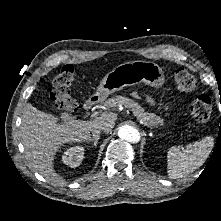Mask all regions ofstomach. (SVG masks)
Segmentation results:
<instances>
[{
	"instance_id": "obj_1",
	"label": "stomach",
	"mask_w": 221,
	"mask_h": 221,
	"mask_svg": "<svg viewBox=\"0 0 221 221\" xmlns=\"http://www.w3.org/2000/svg\"><path fill=\"white\" fill-rule=\"evenodd\" d=\"M140 83L159 88L164 83L162 68L150 61H131L116 66L101 81L94 97L104 101L110 94Z\"/></svg>"
}]
</instances>
